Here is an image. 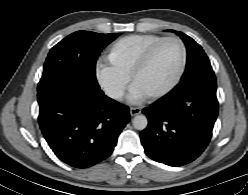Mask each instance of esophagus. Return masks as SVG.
Segmentation results:
<instances>
[{
	"label": "esophagus",
	"mask_w": 248,
	"mask_h": 195,
	"mask_svg": "<svg viewBox=\"0 0 248 195\" xmlns=\"http://www.w3.org/2000/svg\"><path fill=\"white\" fill-rule=\"evenodd\" d=\"M141 113V109L139 107H131L130 108V114L132 116L140 114Z\"/></svg>",
	"instance_id": "esophagus-1"
}]
</instances>
